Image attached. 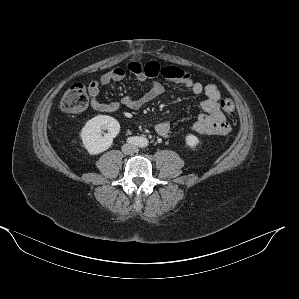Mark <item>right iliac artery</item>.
Segmentation results:
<instances>
[{"label": "right iliac artery", "instance_id": "1", "mask_svg": "<svg viewBox=\"0 0 299 299\" xmlns=\"http://www.w3.org/2000/svg\"><path fill=\"white\" fill-rule=\"evenodd\" d=\"M127 142L131 143V144H137L139 142V138L138 137H129L127 139Z\"/></svg>", "mask_w": 299, "mask_h": 299}]
</instances>
